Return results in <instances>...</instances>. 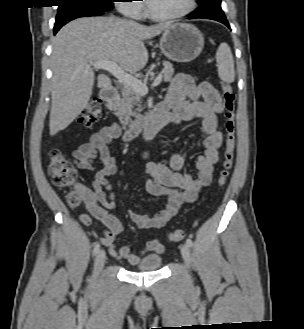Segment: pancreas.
I'll return each mask as SVG.
<instances>
[{
  "mask_svg": "<svg viewBox=\"0 0 304 329\" xmlns=\"http://www.w3.org/2000/svg\"><path fill=\"white\" fill-rule=\"evenodd\" d=\"M164 69L160 73L163 80L168 82L171 80L174 74L173 65L165 61L163 62ZM147 80L145 77L144 81ZM115 115L119 118L121 124L126 129L133 127L136 122L142 120L141 112V95L134 91L129 86H124L122 89V97L116 102L115 105ZM132 117L135 118V121L132 120Z\"/></svg>",
  "mask_w": 304,
  "mask_h": 329,
  "instance_id": "pancreas-1",
  "label": "pancreas"
}]
</instances>
